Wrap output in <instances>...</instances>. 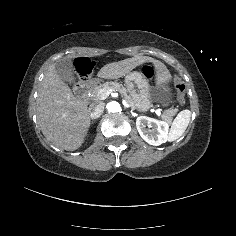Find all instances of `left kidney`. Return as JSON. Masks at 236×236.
<instances>
[{
  "label": "left kidney",
  "mask_w": 236,
  "mask_h": 236,
  "mask_svg": "<svg viewBox=\"0 0 236 236\" xmlns=\"http://www.w3.org/2000/svg\"><path fill=\"white\" fill-rule=\"evenodd\" d=\"M151 126L152 130H148ZM136 127L140 136L151 145L159 146L168 140L169 123L166 121L140 116L136 119Z\"/></svg>",
  "instance_id": "1"
}]
</instances>
